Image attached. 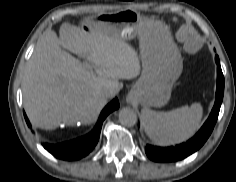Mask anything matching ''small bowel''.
<instances>
[{
    "label": "small bowel",
    "instance_id": "1",
    "mask_svg": "<svg viewBox=\"0 0 236 182\" xmlns=\"http://www.w3.org/2000/svg\"><path fill=\"white\" fill-rule=\"evenodd\" d=\"M187 48L189 51H194L196 47L193 44H188Z\"/></svg>",
    "mask_w": 236,
    "mask_h": 182
}]
</instances>
